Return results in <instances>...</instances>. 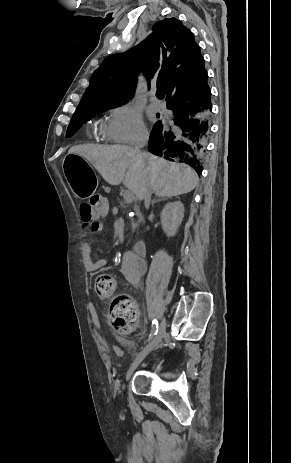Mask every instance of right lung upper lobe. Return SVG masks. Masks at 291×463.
<instances>
[{
  "label": "right lung upper lobe",
  "instance_id": "1",
  "mask_svg": "<svg viewBox=\"0 0 291 463\" xmlns=\"http://www.w3.org/2000/svg\"><path fill=\"white\" fill-rule=\"evenodd\" d=\"M153 32L123 54L107 57L93 73L77 109L126 102L133 97L142 70L167 100L199 98L206 74L204 58L192 32L176 18L157 22Z\"/></svg>",
  "mask_w": 291,
  "mask_h": 463
}]
</instances>
